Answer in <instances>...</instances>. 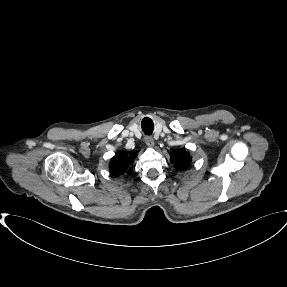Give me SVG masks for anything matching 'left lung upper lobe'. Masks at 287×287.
<instances>
[{"label": "left lung upper lobe", "instance_id": "obj_1", "mask_svg": "<svg viewBox=\"0 0 287 287\" xmlns=\"http://www.w3.org/2000/svg\"><path fill=\"white\" fill-rule=\"evenodd\" d=\"M171 162L178 170L186 169L191 163V156L184 149L177 150L171 155Z\"/></svg>", "mask_w": 287, "mask_h": 287}]
</instances>
